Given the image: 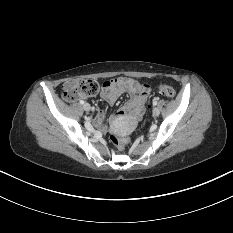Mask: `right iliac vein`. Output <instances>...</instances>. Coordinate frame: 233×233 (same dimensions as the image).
Returning <instances> with one entry per match:
<instances>
[{"label":"right iliac vein","mask_w":233,"mask_h":233,"mask_svg":"<svg viewBox=\"0 0 233 233\" xmlns=\"http://www.w3.org/2000/svg\"><path fill=\"white\" fill-rule=\"evenodd\" d=\"M83 109H84L85 111H90V109H91L90 104L84 103V104H83Z\"/></svg>","instance_id":"63e3f726"}]
</instances>
